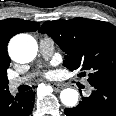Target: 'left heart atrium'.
I'll return each instance as SVG.
<instances>
[{
	"mask_svg": "<svg viewBox=\"0 0 116 116\" xmlns=\"http://www.w3.org/2000/svg\"><path fill=\"white\" fill-rule=\"evenodd\" d=\"M47 76H51V73H47Z\"/></svg>",
	"mask_w": 116,
	"mask_h": 116,
	"instance_id": "1",
	"label": "left heart atrium"
}]
</instances>
